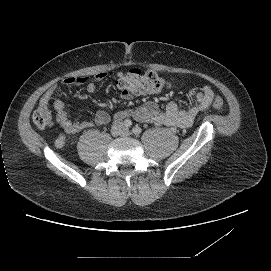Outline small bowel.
<instances>
[{"label":"small bowel","mask_w":271,"mask_h":271,"mask_svg":"<svg viewBox=\"0 0 271 271\" xmlns=\"http://www.w3.org/2000/svg\"><path fill=\"white\" fill-rule=\"evenodd\" d=\"M105 72L97 73L94 79L82 76L67 77L62 81L64 86L85 85L88 93L96 90V83L106 78ZM123 73H118V80L123 78ZM57 87H51L41 98L40 106L47 107L48 103L56 94ZM122 97L130 100L132 95L126 91H122ZM214 93L210 87H204L201 91L190 94L189 106L182 108L178 102L171 101L165 109L161 110L154 102H148L135 110H120L114 115L115 119L121 120L126 117H133L137 121L152 123L157 126L186 128L193 124L195 118L212 103ZM54 107L57 111V120L66 133H77L94 125L100 126L106 124L110 120V115L105 111H98L92 121L70 120L64 108L61 99L54 101ZM65 138L60 135L55 144L61 147Z\"/></svg>","instance_id":"c3829d8e"}]
</instances>
